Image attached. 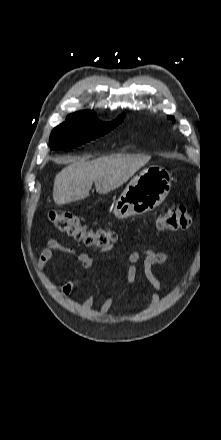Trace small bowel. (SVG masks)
I'll return each instance as SVG.
<instances>
[{
  "label": "small bowel",
  "instance_id": "1",
  "mask_svg": "<svg viewBox=\"0 0 221 440\" xmlns=\"http://www.w3.org/2000/svg\"><path fill=\"white\" fill-rule=\"evenodd\" d=\"M112 247L108 246L100 250V252H107ZM57 251H62L74 255L80 264V267L84 270H88L93 266L94 256L87 253L78 251L70 246L63 245L54 239L47 241V246L40 252L37 268L42 270L45 265L53 258ZM168 254L164 252H156L152 250H136L128 254V266L126 269V277L129 283H132L138 273V263L142 259V272L149 286L150 299L148 305H154L159 301L160 294L162 293V285L160 280L156 277L153 268L157 265H162L167 262ZM75 288L73 281L66 282L61 288V295L68 296ZM115 301L114 296H109L105 299L100 307L101 313L108 312L113 306ZM93 304V297H88L82 304L83 309H89Z\"/></svg>",
  "mask_w": 221,
  "mask_h": 440
}]
</instances>
